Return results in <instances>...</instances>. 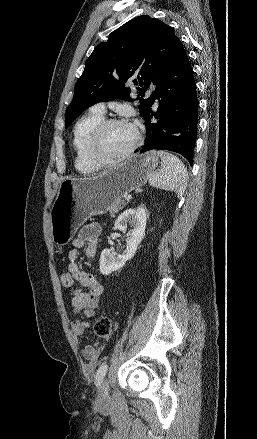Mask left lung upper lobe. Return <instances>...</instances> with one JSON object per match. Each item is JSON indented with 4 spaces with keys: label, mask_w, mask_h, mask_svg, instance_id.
<instances>
[{
    "label": "left lung upper lobe",
    "mask_w": 257,
    "mask_h": 439,
    "mask_svg": "<svg viewBox=\"0 0 257 439\" xmlns=\"http://www.w3.org/2000/svg\"><path fill=\"white\" fill-rule=\"evenodd\" d=\"M178 40L168 25L147 15L138 16L113 31L85 63L66 112L65 127L89 105L113 99L132 101L127 98L130 89L124 87L131 79L136 84V79L139 80L138 108L145 117L151 110L152 99L142 96L151 84L156 85L168 67Z\"/></svg>",
    "instance_id": "obj_1"
}]
</instances>
